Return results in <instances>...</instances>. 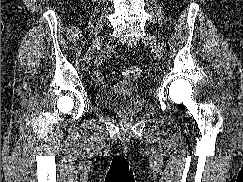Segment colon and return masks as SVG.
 I'll return each instance as SVG.
<instances>
[{"label":"colon","mask_w":243,"mask_h":182,"mask_svg":"<svg viewBox=\"0 0 243 182\" xmlns=\"http://www.w3.org/2000/svg\"><path fill=\"white\" fill-rule=\"evenodd\" d=\"M141 74H142V70L138 66H129L124 71V75L128 79H136V78H139L141 76Z\"/></svg>","instance_id":"1"}]
</instances>
